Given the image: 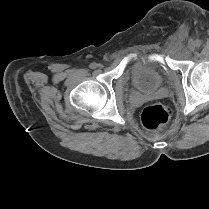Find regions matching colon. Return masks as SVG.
Returning a JSON list of instances; mask_svg holds the SVG:
<instances>
[{"instance_id":"1","label":"colon","mask_w":209,"mask_h":209,"mask_svg":"<svg viewBox=\"0 0 209 209\" xmlns=\"http://www.w3.org/2000/svg\"><path fill=\"white\" fill-rule=\"evenodd\" d=\"M171 118V111L163 105L146 107L141 114L142 125L149 130H156L166 125Z\"/></svg>"}]
</instances>
